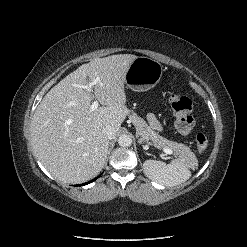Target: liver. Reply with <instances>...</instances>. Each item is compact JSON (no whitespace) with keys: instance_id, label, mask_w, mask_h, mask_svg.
<instances>
[{"instance_id":"1","label":"liver","mask_w":247,"mask_h":247,"mask_svg":"<svg viewBox=\"0 0 247 247\" xmlns=\"http://www.w3.org/2000/svg\"><path fill=\"white\" fill-rule=\"evenodd\" d=\"M132 54L96 58L55 85L35 110L31 140L37 159L58 181L82 183L94 178L107 158L109 140L103 131L116 132L129 114L124 91ZM99 78L93 92L86 89ZM102 105L91 110L93 99Z\"/></svg>"}]
</instances>
